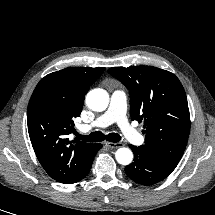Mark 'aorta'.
Instances as JSON below:
<instances>
[{
  "label": "aorta",
  "mask_w": 215,
  "mask_h": 215,
  "mask_svg": "<svg viewBox=\"0 0 215 215\" xmlns=\"http://www.w3.org/2000/svg\"><path fill=\"white\" fill-rule=\"evenodd\" d=\"M86 103L94 111H104L109 103L108 93L103 89H93L87 94ZM115 157L119 164L128 165L132 162L133 153L128 148H119Z\"/></svg>",
  "instance_id": "1"
}]
</instances>
